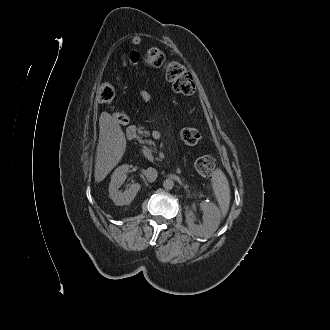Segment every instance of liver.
Listing matches in <instances>:
<instances>
[{
  "label": "liver",
  "mask_w": 330,
  "mask_h": 330,
  "mask_svg": "<svg viewBox=\"0 0 330 330\" xmlns=\"http://www.w3.org/2000/svg\"><path fill=\"white\" fill-rule=\"evenodd\" d=\"M99 141L96 149L94 177L102 181L122 159L126 149V138L118 124L109 114L99 118Z\"/></svg>",
  "instance_id": "obj_1"
}]
</instances>
